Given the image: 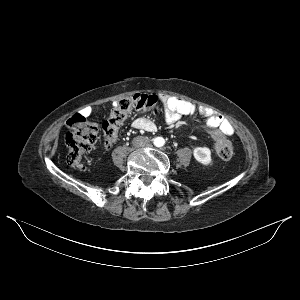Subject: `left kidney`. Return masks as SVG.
I'll return each instance as SVG.
<instances>
[{"mask_svg":"<svg viewBox=\"0 0 300 300\" xmlns=\"http://www.w3.org/2000/svg\"><path fill=\"white\" fill-rule=\"evenodd\" d=\"M194 158L203 165H209L212 161L211 151L207 147H196L193 150Z\"/></svg>","mask_w":300,"mask_h":300,"instance_id":"left-kidney-1","label":"left kidney"}]
</instances>
